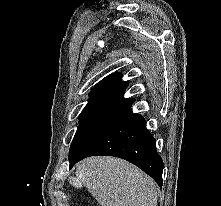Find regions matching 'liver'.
<instances>
[{
    "label": "liver",
    "mask_w": 221,
    "mask_h": 206,
    "mask_svg": "<svg viewBox=\"0 0 221 206\" xmlns=\"http://www.w3.org/2000/svg\"><path fill=\"white\" fill-rule=\"evenodd\" d=\"M68 181L75 188L84 185L101 206H157L153 179L119 158H87Z\"/></svg>",
    "instance_id": "obj_1"
}]
</instances>
